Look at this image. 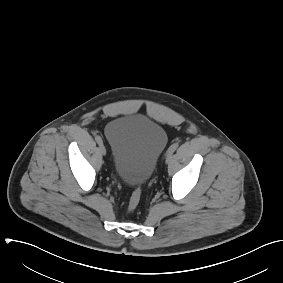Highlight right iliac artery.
Listing matches in <instances>:
<instances>
[{
  "mask_svg": "<svg viewBox=\"0 0 283 283\" xmlns=\"http://www.w3.org/2000/svg\"><path fill=\"white\" fill-rule=\"evenodd\" d=\"M95 140L99 145L103 144L102 138L100 136H96Z\"/></svg>",
  "mask_w": 283,
  "mask_h": 283,
  "instance_id": "right-iliac-artery-1",
  "label": "right iliac artery"
}]
</instances>
